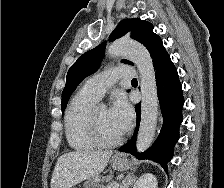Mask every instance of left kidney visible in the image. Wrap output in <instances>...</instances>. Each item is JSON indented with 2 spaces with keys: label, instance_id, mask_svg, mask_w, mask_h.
<instances>
[{
  "label": "left kidney",
  "instance_id": "obj_1",
  "mask_svg": "<svg viewBox=\"0 0 224 188\" xmlns=\"http://www.w3.org/2000/svg\"><path fill=\"white\" fill-rule=\"evenodd\" d=\"M157 179L151 173H145L134 184L133 188H157Z\"/></svg>",
  "mask_w": 224,
  "mask_h": 188
}]
</instances>
